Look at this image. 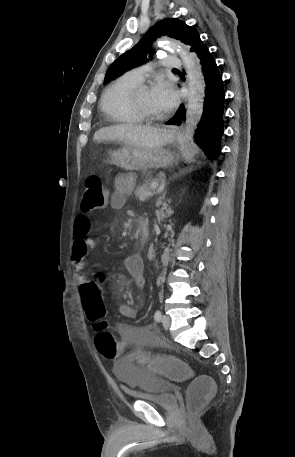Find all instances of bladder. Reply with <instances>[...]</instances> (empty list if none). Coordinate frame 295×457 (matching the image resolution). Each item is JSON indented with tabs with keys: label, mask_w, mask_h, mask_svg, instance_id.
<instances>
[{
	"label": "bladder",
	"mask_w": 295,
	"mask_h": 457,
	"mask_svg": "<svg viewBox=\"0 0 295 457\" xmlns=\"http://www.w3.org/2000/svg\"><path fill=\"white\" fill-rule=\"evenodd\" d=\"M135 350L133 345H128L126 358L115 362L113 372L118 382L135 398L155 403L164 411H177L178 399L170 390L171 378H162V374H146L138 359H132ZM161 350L168 353L170 348L165 346Z\"/></svg>",
	"instance_id": "1"
}]
</instances>
